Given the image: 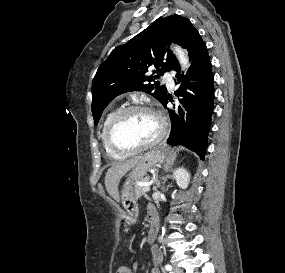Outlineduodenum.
Returning <instances> with one entry per match:
<instances>
[{
  "label": "duodenum",
  "mask_w": 285,
  "mask_h": 273,
  "mask_svg": "<svg viewBox=\"0 0 285 273\" xmlns=\"http://www.w3.org/2000/svg\"><path fill=\"white\" fill-rule=\"evenodd\" d=\"M149 230L147 235L148 242L154 241L159 230V219L156 210L148 212Z\"/></svg>",
  "instance_id": "duodenum-1"
}]
</instances>
